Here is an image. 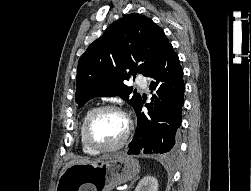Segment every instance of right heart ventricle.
Returning <instances> with one entry per match:
<instances>
[{
    "label": "right heart ventricle",
    "instance_id": "1",
    "mask_svg": "<svg viewBox=\"0 0 251 191\" xmlns=\"http://www.w3.org/2000/svg\"><path fill=\"white\" fill-rule=\"evenodd\" d=\"M91 110H92L91 108L88 109V110L84 113V115H83V117H82V119H81L80 128H79V133H78V146H79V149H80L81 153H83V154L86 155V156L94 157V156H97L98 154H96V153L90 151L89 149H87V148L85 147V145L83 144L82 138H81V127H82L83 120H84L85 117L89 114V112H90Z\"/></svg>",
    "mask_w": 251,
    "mask_h": 191
}]
</instances>
